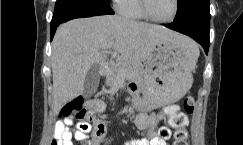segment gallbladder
Here are the masks:
<instances>
[{
    "instance_id": "obj_1",
    "label": "gallbladder",
    "mask_w": 243,
    "mask_h": 145,
    "mask_svg": "<svg viewBox=\"0 0 243 145\" xmlns=\"http://www.w3.org/2000/svg\"><path fill=\"white\" fill-rule=\"evenodd\" d=\"M100 75H99V65L94 64L88 71L85 81L83 96L86 98L91 97L97 90L99 85Z\"/></svg>"
}]
</instances>
